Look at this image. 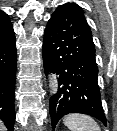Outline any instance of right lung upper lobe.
Listing matches in <instances>:
<instances>
[{
    "label": "right lung upper lobe",
    "instance_id": "obj_1",
    "mask_svg": "<svg viewBox=\"0 0 117 131\" xmlns=\"http://www.w3.org/2000/svg\"><path fill=\"white\" fill-rule=\"evenodd\" d=\"M11 25L12 24H11L9 16L5 12L0 10V32L9 28Z\"/></svg>",
    "mask_w": 117,
    "mask_h": 131
}]
</instances>
